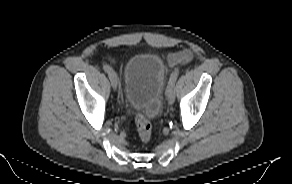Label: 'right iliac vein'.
Instances as JSON below:
<instances>
[{"instance_id": "right-iliac-vein-1", "label": "right iliac vein", "mask_w": 292, "mask_h": 184, "mask_svg": "<svg viewBox=\"0 0 292 184\" xmlns=\"http://www.w3.org/2000/svg\"><path fill=\"white\" fill-rule=\"evenodd\" d=\"M109 79L111 81V85H112L113 89L116 90L117 86H118V77H117V74L115 71L111 70L109 72Z\"/></svg>"}]
</instances>
